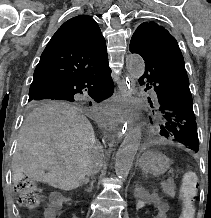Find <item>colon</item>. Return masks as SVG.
<instances>
[{
	"mask_svg": "<svg viewBox=\"0 0 211 218\" xmlns=\"http://www.w3.org/2000/svg\"><path fill=\"white\" fill-rule=\"evenodd\" d=\"M15 189L19 193V204L29 210L37 208L42 201V191L24 169L15 172ZM198 178L193 171H187L182 180L180 197L182 213L180 218H193L194 201L197 196Z\"/></svg>",
	"mask_w": 211,
	"mask_h": 218,
	"instance_id": "obj_1",
	"label": "colon"
}]
</instances>
